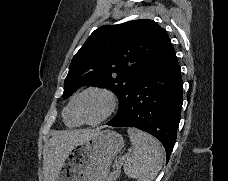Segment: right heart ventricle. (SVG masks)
I'll return each mask as SVG.
<instances>
[{"label": "right heart ventricle", "instance_id": "1", "mask_svg": "<svg viewBox=\"0 0 228 181\" xmlns=\"http://www.w3.org/2000/svg\"><path fill=\"white\" fill-rule=\"evenodd\" d=\"M65 120L69 126H76L80 123L78 116L75 114L73 100L65 110Z\"/></svg>", "mask_w": 228, "mask_h": 181}]
</instances>
